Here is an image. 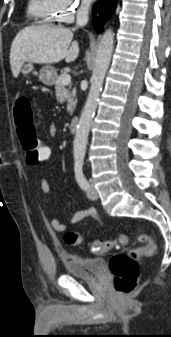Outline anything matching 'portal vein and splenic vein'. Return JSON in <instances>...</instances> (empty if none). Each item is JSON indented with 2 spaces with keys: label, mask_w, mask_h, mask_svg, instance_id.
<instances>
[{
  "label": "portal vein and splenic vein",
  "mask_w": 171,
  "mask_h": 337,
  "mask_svg": "<svg viewBox=\"0 0 171 337\" xmlns=\"http://www.w3.org/2000/svg\"><path fill=\"white\" fill-rule=\"evenodd\" d=\"M70 82H71V76L68 75V74H65V75L63 76V78H62V83H63L64 85H69Z\"/></svg>",
  "instance_id": "portal-vein-and-splenic-vein-1"
}]
</instances>
